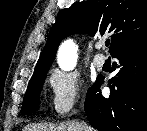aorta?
<instances>
[{"label":"aorta","mask_w":147,"mask_h":131,"mask_svg":"<svg viewBox=\"0 0 147 131\" xmlns=\"http://www.w3.org/2000/svg\"><path fill=\"white\" fill-rule=\"evenodd\" d=\"M58 64L63 71L72 70L77 61V46L72 40L62 43L58 51Z\"/></svg>","instance_id":"1"}]
</instances>
